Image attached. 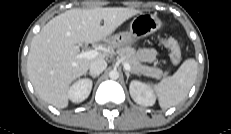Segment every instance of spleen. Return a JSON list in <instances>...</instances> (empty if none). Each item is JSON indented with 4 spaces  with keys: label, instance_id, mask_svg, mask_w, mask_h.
<instances>
[{
    "label": "spleen",
    "instance_id": "obj_1",
    "mask_svg": "<svg viewBox=\"0 0 231 134\" xmlns=\"http://www.w3.org/2000/svg\"><path fill=\"white\" fill-rule=\"evenodd\" d=\"M198 72L195 59L185 60L171 77L154 84V90L159 98L162 109H168L181 103L193 86Z\"/></svg>",
    "mask_w": 231,
    "mask_h": 134
}]
</instances>
